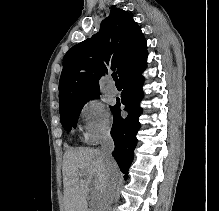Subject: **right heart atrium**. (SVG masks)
<instances>
[{"instance_id": "d8ad5b80", "label": "right heart atrium", "mask_w": 219, "mask_h": 211, "mask_svg": "<svg viewBox=\"0 0 219 211\" xmlns=\"http://www.w3.org/2000/svg\"><path fill=\"white\" fill-rule=\"evenodd\" d=\"M84 122V139L95 144L108 136L111 123L106 107L98 100H90L80 110Z\"/></svg>"}]
</instances>
